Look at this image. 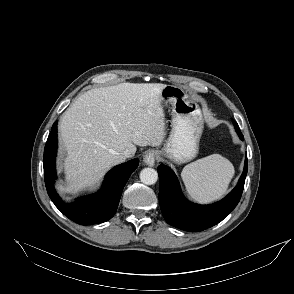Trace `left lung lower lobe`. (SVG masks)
Instances as JSON below:
<instances>
[{
	"label": "left lung lower lobe",
	"mask_w": 294,
	"mask_h": 294,
	"mask_svg": "<svg viewBox=\"0 0 294 294\" xmlns=\"http://www.w3.org/2000/svg\"><path fill=\"white\" fill-rule=\"evenodd\" d=\"M233 123L238 136L243 140L244 137L237 122L233 120ZM247 168L246 158L237 186L224 199L211 205H198L182 196L176 175L169 167L161 164L158 167L159 201L166 222L189 232L203 231L219 223L237 206L243 192Z\"/></svg>",
	"instance_id": "obj_1"
}]
</instances>
